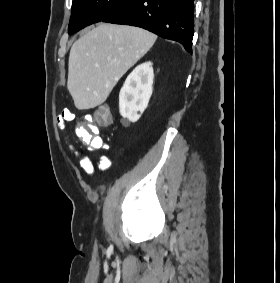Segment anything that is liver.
I'll use <instances>...</instances> for the list:
<instances>
[{
    "instance_id": "6515ba94",
    "label": "liver",
    "mask_w": 280,
    "mask_h": 283,
    "mask_svg": "<svg viewBox=\"0 0 280 283\" xmlns=\"http://www.w3.org/2000/svg\"><path fill=\"white\" fill-rule=\"evenodd\" d=\"M157 36L139 27L100 23L71 47L67 88L79 110L106 101L119 79L153 46Z\"/></svg>"
}]
</instances>
